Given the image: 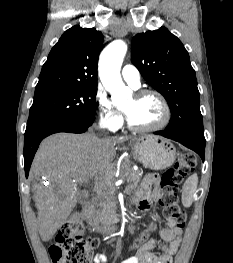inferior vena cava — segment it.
I'll use <instances>...</instances> for the list:
<instances>
[{"label":"inferior vena cava","instance_id":"obj_1","mask_svg":"<svg viewBox=\"0 0 233 263\" xmlns=\"http://www.w3.org/2000/svg\"><path fill=\"white\" fill-rule=\"evenodd\" d=\"M96 184H97V186L100 185V184H101V181L98 180Z\"/></svg>","mask_w":233,"mask_h":263}]
</instances>
